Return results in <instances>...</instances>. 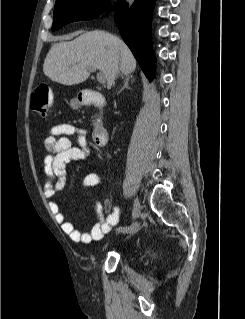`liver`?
<instances>
[{"label": "liver", "mask_w": 245, "mask_h": 319, "mask_svg": "<svg viewBox=\"0 0 245 319\" xmlns=\"http://www.w3.org/2000/svg\"><path fill=\"white\" fill-rule=\"evenodd\" d=\"M91 68L103 72L111 87L118 71L125 75L135 71L136 60L122 40L96 30L54 44L43 64V72L49 79L68 86L88 79Z\"/></svg>", "instance_id": "6515ba94"}]
</instances>
